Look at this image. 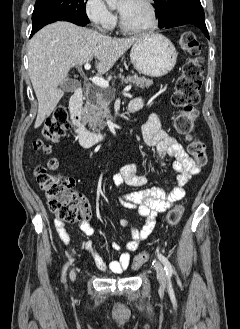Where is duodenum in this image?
Returning a JSON list of instances; mask_svg holds the SVG:
<instances>
[{
    "mask_svg": "<svg viewBox=\"0 0 240 329\" xmlns=\"http://www.w3.org/2000/svg\"><path fill=\"white\" fill-rule=\"evenodd\" d=\"M83 93L82 89H77L70 98L69 110L70 119L73 130L77 135L80 144L84 149H91L99 142L109 137L108 133L91 132L83 124L82 120ZM138 110V106L131 101L128 111L134 113Z\"/></svg>",
    "mask_w": 240,
    "mask_h": 329,
    "instance_id": "duodenum-1",
    "label": "duodenum"
}]
</instances>
